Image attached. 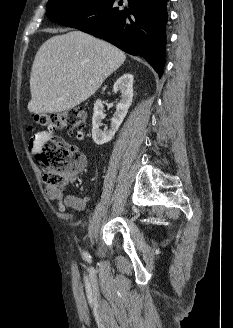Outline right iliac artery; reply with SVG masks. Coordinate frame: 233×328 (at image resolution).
<instances>
[{
	"instance_id": "82829eb1",
	"label": "right iliac artery",
	"mask_w": 233,
	"mask_h": 328,
	"mask_svg": "<svg viewBox=\"0 0 233 328\" xmlns=\"http://www.w3.org/2000/svg\"><path fill=\"white\" fill-rule=\"evenodd\" d=\"M83 256L86 260H90V258H91L90 255L85 251L83 252Z\"/></svg>"
}]
</instances>
